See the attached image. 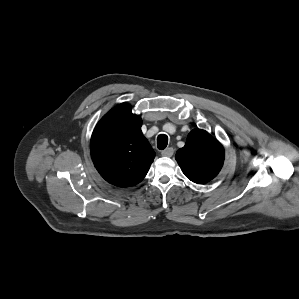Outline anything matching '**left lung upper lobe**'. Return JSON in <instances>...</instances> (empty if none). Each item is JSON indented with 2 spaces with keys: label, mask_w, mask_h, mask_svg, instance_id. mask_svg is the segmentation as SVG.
I'll return each mask as SVG.
<instances>
[{
  "label": "left lung upper lobe",
  "mask_w": 299,
  "mask_h": 299,
  "mask_svg": "<svg viewBox=\"0 0 299 299\" xmlns=\"http://www.w3.org/2000/svg\"><path fill=\"white\" fill-rule=\"evenodd\" d=\"M176 160L188 179L204 184L220 172L224 149L209 133L194 129L189 133L185 146L177 151Z\"/></svg>",
  "instance_id": "5c2ea615"
}]
</instances>
